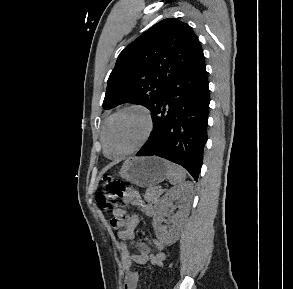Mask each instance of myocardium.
I'll use <instances>...</instances> for the list:
<instances>
[{
    "instance_id": "f54148a6",
    "label": "myocardium",
    "mask_w": 293,
    "mask_h": 289,
    "mask_svg": "<svg viewBox=\"0 0 293 289\" xmlns=\"http://www.w3.org/2000/svg\"><path fill=\"white\" fill-rule=\"evenodd\" d=\"M127 111H138L142 114L144 121H145V130L143 133V136L141 138V140L138 142V144L133 147L132 149L128 150L125 153H122L120 155L117 156H111L108 154L107 152V142H106V137H107V130L110 126V124L112 123V121L119 115H121L124 112ZM154 130V118L152 115V112L150 111V109L142 104H129L126 105L122 108H120L119 110H117L116 112H114L105 122L104 124V128L101 134V141H102V145H103V152L104 155L109 158V159H122L125 158L129 155H132L136 152H138L141 148L144 147V145L148 142V140L150 139L152 133Z\"/></svg>"
}]
</instances>
